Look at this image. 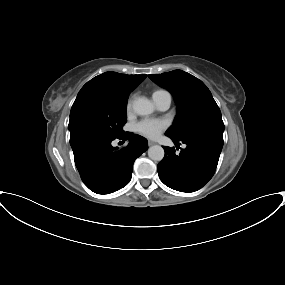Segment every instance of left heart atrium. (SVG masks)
Returning a JSON list of instances; mask_svg holds the SVG:
<instances>
[{
	"mask_svg": "<svg viewBox=\"0 0 285 285\" xmlns=\"http://www.w3.org/2000/svg\"><path fill=\"white\" fill-rule=\"evenodd\" d=\"M168 123L161 119H144L136 124L135 130L150 139L157 138Z\"/></svg>",
	"mask_w": 285,
	"mask_h": 285,
	"instance_id": "obj_1",
	"label": "left heart atrium"
}]
</instances>
